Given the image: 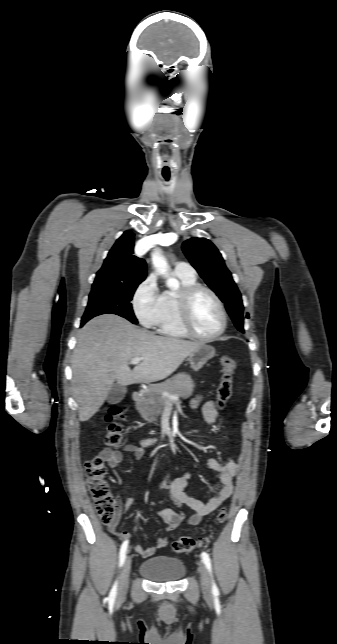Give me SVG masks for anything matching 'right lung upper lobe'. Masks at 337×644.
Instances as JSON below:
<instances>
[{"label":"right lung upper lobe","mask_w":337,"mask_h":644,"mask_svg":"<svg viewBox=\"0 0 337 644\" xmlns=\"http://www.w3.org/2000/svg\"><path fill=\"white\" fill-rule=\"evenodd\" d=\"M134 233L125 231L109 251L93 284L136 283L146 278V263L133 255Z\"/></svg>","instance_id":"cb5924a9"}]
</instances>
